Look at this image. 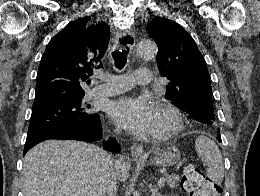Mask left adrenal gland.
<instances>
[{"label": "left adrenal gland", "mask_w": 260, "mask_h": 196, "mask_svg": "<svg viewBox=\"0 0 260 196\" xmlns=\"http://www.w3.org/2000/svg\"><path fill=\"white\" fill-rule=\"evenodd\" d=\"M149 190L151 192V196H162V194H160L158 188H155V186H149Z\"/></svg>", "instance_id": "left-adrenal-gland-1"}]
</instances>
